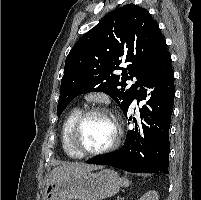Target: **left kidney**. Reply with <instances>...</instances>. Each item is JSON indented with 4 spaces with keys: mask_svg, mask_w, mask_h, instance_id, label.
<instances>
[{
    "mask_svg": "<svg viewBox=\"0 0 201 200\" xmlns=\"http://www.w3.org/2000/svg\"><path fill=\"white\" fill-rule=\"evenodd\" d=\"M138 200H158V193L156 191H148Z\"/></svg>",
    "mask_w": 201,
    "mask_h": 200,
    "instance_id": "5707ae66",
    "label": "left kidney"
}]
</instances>
